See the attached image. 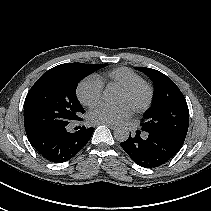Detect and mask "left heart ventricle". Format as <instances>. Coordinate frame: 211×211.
<instances>
[{
  "label": "left heart ventricle",
  "instance_id": "obj_1",
  "mask_svg": "<svg viewBox=\"0 0 211 211\" xmlns=\"http://www.w3.org/2000/svg\"><path fill=\"white\" fill-rule=\"evenodd\" d=\"M143 97V94H140L138 96V99H141ZM133 99L131 97H129L127 94H125L123 91L120 92V96H119V103L121 104H127V105H131Z\"/></svg>",
  "mask_w": 211,
  "mask_h": 211
}]
</instances>
